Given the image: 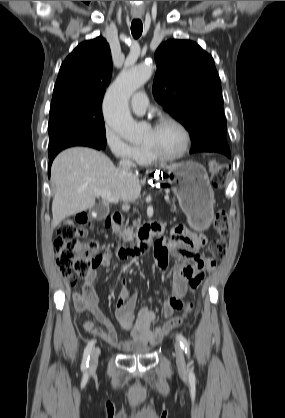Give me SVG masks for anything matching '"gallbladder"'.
I'll return each mask as SVG.
<instances>
[{"label":"gallbladder","instance_id":"bac80fb5","mask_svg":"<svg viewBox=\"0 0 285 418\" xmlns=\"http://www.w3.org/2000/svg\"><path fill=\"white\" fill-rule=\"evenodd\" d=\"M95 213V217L92 214ZM109 213V209L103 204H95L89 211V215L94 220L105 218Z\"/></svg>","mask_w":285,"mask_h":418}]
</instances>
